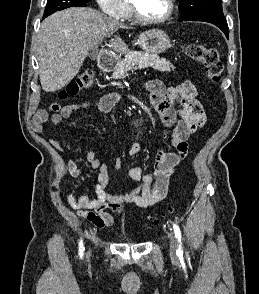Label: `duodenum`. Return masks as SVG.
<instances>
[{
  "mask_svg": "<svg viewBox=\"0 0 259 294\" xmlns=\"http://www.w3.org/2000/svg\"><path fill=\"white\" fill-rule=\"evenodd\" d=\"M117 65V58L110 54H102L98 59V66L100 67L101 71L109 72L113 70Z\"/></svg>",
  "mask_w": 259,
  "mask_h": 294,
  "instance_id": "obj_1",
  "label": "duodenum"
}]
</instances>
